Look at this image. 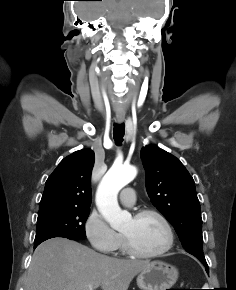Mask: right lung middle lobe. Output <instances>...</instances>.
<instances>
[{"label":"right lung middle lobe","mask_w":236,"mask_h":290,"mask_svg":"<svg viewBox=\"0 0 236 290\" xmlns=\"http://www.w3.org/2000/svg\"><path fill=\"white\" fill-rule=\"evenodd\" d=\"M89 208L47 207L39 209L34 244L54 237L85 239Z\"/></svg>","instance_id":"obj_1"}]
</instances>
